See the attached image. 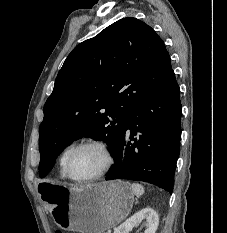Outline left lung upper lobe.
I'll return each mask as SVG.
<instances>
[{
	"mask_svg": "<svg viewBox=\"0 0 227 233\" xmlns=\"http://www.w3.org/2000/svg\"><path fill=\"white\" fill-rule=\"evenodd\" d=\"M172 71L156 32L128 17L76 46L60 69L39 130V176L74 140L105 141L114 157L132 107L155 92Z\"/></svg>",
	"mask_w": 227,
	"mask_h": 233,
	"instance_id": "obj_1",
	"label": "left lung upper lobe"
}]
</instances>
